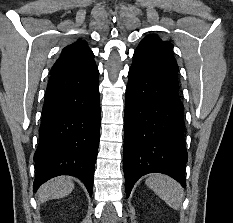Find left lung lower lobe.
Listing matches in <instances>:
<instances>
[{
	"instance_id": "obj_1",
	"label": "left lung lower lobe",
	"mask_w": 233,
	"mask_h": 223,
	"mask_svg": "<svg viewBox=\"0 0 233 223\" xmlns=\"http://www.w3.org/2000/svg\"><path fill=\"white\" fill-rule=\"evenodd\" d=\"M178 70L173 54L154 40L143 39L134 52L125 101L127 197L141 176L153 172L167 174L186 186L188 155Z\"/></svg>"
}]
</instances>
